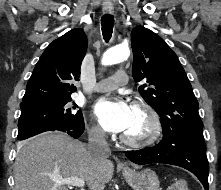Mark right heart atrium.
Here are the masks:
<instances>
[{
  "label": "right heart atrium",
  "mask_w": 221,
  "mask_h": 190,
  "mask_svg": "<svg viewBox=\"0 0 221 190\" xmlns=\"http://www.w3.org/2000/svg\"><path fill=\"white\" fill-rule=\"evenodd\" d=\"M89 133L92 138L96 140H102L104 138V131L102 128L96 124H93L89 130Z\"/></svg>",
  "instance_id": "1"
}]
</instances>
